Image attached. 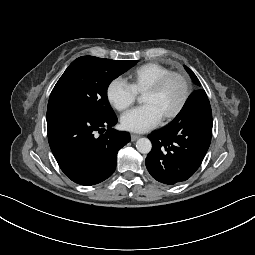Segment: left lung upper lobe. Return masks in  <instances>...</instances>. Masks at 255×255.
<instances>
[{
	"label": "left lung upper lobe",
	"mask_w": 255,
	"mask_h": 255,
	"mask_svg": "<svg viewBox=\"0 0 255 255\" xmlns=\"http://www.w3.org/2000/svg\"><path fill=\"white\" fill-rule=\"evenodd\" d=\"M185 69H186V71L189 73V75L191 76V78L193 79V81H194L197 85H199V81H198L197 77L195 76V74H194L188 67H186V66H185Z\"/></svg>",
	"instance_id": "5c2ea615"
}]
</instances>
